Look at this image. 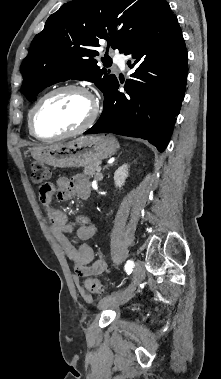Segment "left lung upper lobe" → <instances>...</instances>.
I'll return each instance as SVG.
<instances>
[{
    "label": "left lung upper lobe",
    "instance_id": "1",
    "mask_svg": "<svg viewBox=\"0 0 221 379\" xmlns=\"http://www.w3.org/2000/svg\"><path fill=\"white\" fill-rule=\"evenodd\" d=\"M164 2L72 0L64 4L34 37L22 62L23 93L35 101L47 86L69 79L94 82L105 93L117 78L97 66L99 42L124 53L153 24Z\"/></svg>",
    "mask_w": 221,
    "mask_h": 379
}]
</instances>
